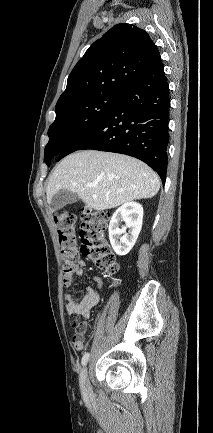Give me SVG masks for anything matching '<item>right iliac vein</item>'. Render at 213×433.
Masks as SVG:
<instances>
[{
  "mask_svg": "<svg viewBox=\"0 0 213 433\" xmlns=\"http://www.w3.org/2000/svg\"><path fill=\"white\" fill-rule=\"evenodd\" d=\"M80 388L83 396L87 399L92 397V389L88 378L87 368L85 367L80 374Z\"/></svg>",
  "mask_w": 213,
  "mask_h": 433,
  "instance_id": "right-iliac-vein-1",
  "label": "right iliac vein"
}]
</instances>
